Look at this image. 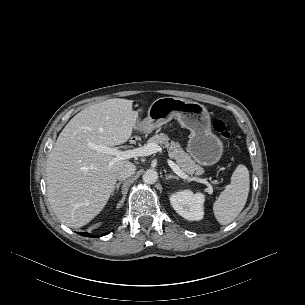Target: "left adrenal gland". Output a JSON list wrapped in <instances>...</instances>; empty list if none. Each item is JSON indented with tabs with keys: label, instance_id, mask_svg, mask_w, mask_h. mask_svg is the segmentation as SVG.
Wrapping results in <instances>:
<instances>
[{
	"label": "left adrenal gland",
	"instance_id": "1",
	"mask_svg": "<svg viewBox=\"0 0 305 305\" xmlns=\"http://www.w3.org/2000/svg\"><path fill=\"white\" fill-rule=\"evenodd\" d=\"M165 179H166V180H170V179H176V180H178V178H177L176 176L172 175V174L165 175Z\"/></svg>",
	"mask_w": 305,
	"mask_h": 305
}]
</instances>
